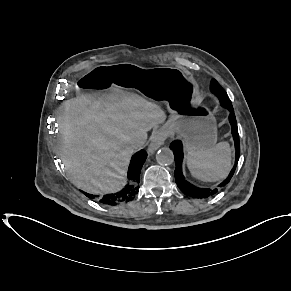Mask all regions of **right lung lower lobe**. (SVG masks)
I'll return each instance as SVG.
<instances>
[{
	"label": "right lung lower lobe",
	"mask_w": 291,
	"mask_h": 291,
	"mask_svg": "<svg viewBox=\"0 0 291 291\" xmlns=\"http://www.w3.org/2000/svg\"><path fill=\"white\" fill-rule=\"evenodd\" d=\"M146 158H147V153L145 150H140L139 152L135 153L132 156L128 173H127L128 182L121 191L114 194L104 195L101 197L88 194L85 192L83 193L87 197L98 200L102 204L108 205V206H116L121 203H127L129 201H132L135 195L138 193V189H139L138 183L140 180V172Z\"/></svg>",
	"instance_id": "obj_1"
}]
</instances>
